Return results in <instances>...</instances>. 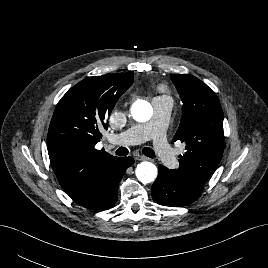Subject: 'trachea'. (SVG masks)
<instances>
[{
  "mask_svg": "<svg viewBox=\"0 0 268 268\" xmlns=\"http://www.w3.org/2000/svg\"><path fill=\"white\" fill-rule=\"evenodd\" d=\"M142 152L147 157L155 158L154 151L151 148H149V147H144L143 150H142ZM116 154L119 155V156H125V155L128 154V150L125 147H119L116 150Z\"/></svg>",
  "mask_w": 268,
  "mask_h": 268,
  "instance_id": "trachea-1",
  "label": "trachea"
}]
</instances>
